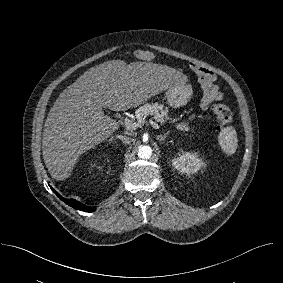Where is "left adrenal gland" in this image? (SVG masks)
I'll return each mask as SVG.
<instances>
[{
  "mask_svg": "<svg viewBox=\"0 0 283 283\" xmlns=\"http://www.w3.org/2000/svg\"><path fill=\"white\" fill-rule=\"evenodd\" d=\"M169 133H170V132L168 131V132L164 133L163 135L157 136V140H159V141H164L165 138L167 137V135H168Z\"/></svg>",
  "mask_w": 283,
  "mask_h": 283,
  "instance_id": "a2214340",
  "label": "left adrenal gland"
}]
</instances>
